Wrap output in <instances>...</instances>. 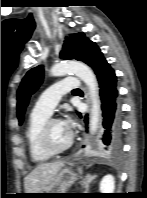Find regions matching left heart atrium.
<instances>
[{
    "label": "left heart atrium",
    "instance_id": "39dd6f15",
    "mask_svg": "<svg viewBox=\"0 0 147 198\" xmlns=\"http://www.w3.org/2000/svg\"><path fill=\"white\" fill-rule=\"evenodd\" d=\"M62 126L69 132L71 133V129H72V119L67 117L64 120L60 121Z\"/></svg>",
    "mask_w": 147,
    "mask_h": 198
}]
</instances>
